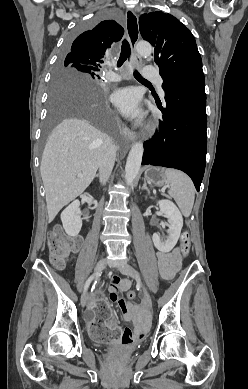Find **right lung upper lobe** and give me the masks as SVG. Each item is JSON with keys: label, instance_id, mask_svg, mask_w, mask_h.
I'll list each match as a JSON object with an SVG mask.
<instances>
[{"label": "right lung upper lobe", "instance_id": "cb5924a9", "mask_svg": "<svg viewBox=\"0 0 248 389\" xmlns=\"http://www.w3.org/2000/svg\"><path fill=\"white\" fill-rule=\"evenodd\" d=\"M123 34L124 29L116 21H102L74 40L63 63L70 66L87 67L97 73L107 49L114 42L120 41Z\"/></svg>", "mask_w": 248, "mask_h": 389}]
</instances>
